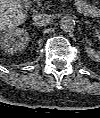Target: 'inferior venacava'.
I'll return each instance as SVG.
<instances>
[{
    "label": "inferior vena cava",
    "mask_w": 100,
    "mask_h": 118,
    "mask_svg": "<svg viewBox=\"0 0 100 118\" xmlns=\"http://www.w3.org/2000/svg\"><path fill=\"white\" fill-rule=\"evenodd\" d=\"M51 17L44 13H39L33 16V23L38 26H46L51 23Z\"/></svg>",
    "instance_id": "602c4592"
}]
</instances>
